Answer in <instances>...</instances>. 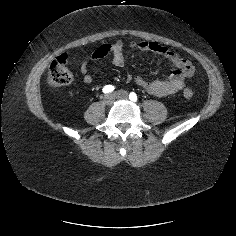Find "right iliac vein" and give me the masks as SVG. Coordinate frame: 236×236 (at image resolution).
<instances>
[{
    "label": "right iliac vein",
    "instance_id": "63e3f726",
    "mask_svg": "<svg viewBox=\"0 0 236 236\" xmlns=\"http://www.w3.org/2000/svg\"><path fill=\"white\" fill-rule=\"evenodd\" d=\"M103 102L105 105L110 106L114 102V95L113 94H107L103 98Z\"/></svg>",
    "mask_w": 236,
    "mask_h": 236
}]
</instances>
